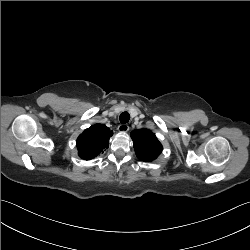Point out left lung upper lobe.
Masks as SVG:
<instances>
[{
	"label": "left lung upper lobe",
	"mask_w": 250,
	"mask_h": 250,
	"mask_svg": "<svg viewBox=\"0 0 250 250\" xmlns=\"http://www.w3.org/2000/svg\"><path fill=\"white\" fill-rule=\"evenodd\" d=\"M131 138L136 155L142 161H152L162 152L161 143L155 134L148 129L132 131Z\"/></svg>",
	"instance_id": "1"
}]
</instances>
